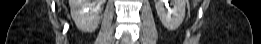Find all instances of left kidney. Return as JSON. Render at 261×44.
Segmentation results:
<instances>
[{"label":"left kidney","instance_id":"5707ae66","mask_svg":"<svg viewBox=\"0 0 261 44\" xmlns=\"http://www.w3.org/2000/svg\"><path fill=\"white\" fill-rule=\"evenodd\" d=\"M166 0H155L157 14L167 30H176L185 17L186 0H173L172 9L165 10L163 2ZM169 6V5H168Z\"/></svg>","mask_w":261,"mask_h":44}]
</instances>
